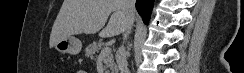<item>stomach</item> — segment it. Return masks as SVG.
<instances>
[{
    "mask_svg": "<svg viewBox=\"0 0 244 73\" xmlns=\"http://www.w3.org/2000/svg\"><path fill=\"white\" fill-rule=\"evenodd\" d=\"M54 48L59 53H69L72 55H76V54L80 53L81 48H82V43L76 37L69 36L67 38H64V39H61L60 41H58L54 45Z\"/></svg>",
    "mask_w": 244,
    "mask_h": 73,
    "instance_id": "obj_1",
    "label": "stomach"
}]
</instances>
